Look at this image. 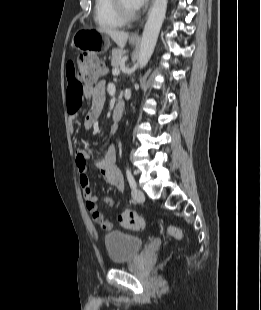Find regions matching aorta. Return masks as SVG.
I'll list each match as a JSON object with an SVG mask.
<instances>
[{
	"instance_id": "1",
	"label": "aorta",
	"mask_w": 261,
	"mask_h": 310,
	"mask_svg": "<svg viewBox=\"0 0 261 310\" xmlns=\"http://www.w3.org/2000/svg\"><path fill=\"white\" fill-rule=\"evenodd\" d=\"M168 0H154L142 34L138 64L142 69L150 60L165 18Z\"/></svg>"
}]
</instances>
